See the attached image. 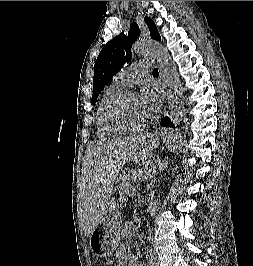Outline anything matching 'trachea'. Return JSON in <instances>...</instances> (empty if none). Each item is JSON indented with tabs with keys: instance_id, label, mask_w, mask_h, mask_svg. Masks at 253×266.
Instances as JSON below:
<instances>
[{
	"instance_id": "obj_1",
	"label": "trachea",
	"mask_w": 253,
	"mask_h": 266,
	"mask_svg": "<svg viewBox=\"0 0 253 266\" xmlns=\"http://www.w3.org/2000/svg\"><path fill=\"white\" fill-rule=\"evenodd\" d=\"M153 74H159L157 68H155V69L153 70Z\"/></svg>"
}]
</instances>
